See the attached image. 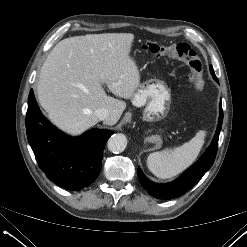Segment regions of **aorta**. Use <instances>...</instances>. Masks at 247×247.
<instances>
[{
  "label": "aorta",
  "mask_w": 247,
  "mask_h": 247,
  "mask_svg": "<svg viewBox=\"0 0 247 247\" xmlns=\"http://www.w3.org/2000/svg\"><path fill=\"white\" fill-rule=\"evenodd\" d=\"M127 146V138L123 134H113L107 142V147L112 153H121Z\"/></svg>",
  "instance_id": "1"
}]
</instances>
